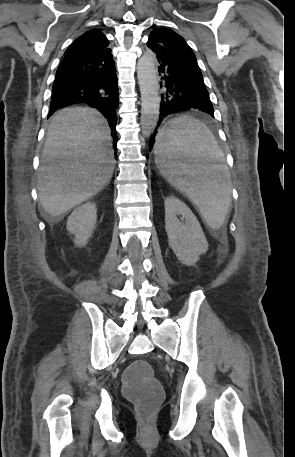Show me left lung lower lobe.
<instances>
[{
  "mask_svg": "<svg viewBox=\"0 0 295 457\" xmlns=\"http://www.w3.org/2000/svg\"><path fill=\"white\" fill-rule=\"evenodd\" d=\"M147 46L160 63L158 66L162 80L160 86L164 84L167 89L161 98L158 125L167 115L190 109L200 110L214 117L213 106L199 66L157 42L148 40ZM156 134L155 130L150 138L149 149H152L156 141Z\"/></svg>",
  "mask_w": 295,
  "mask_h": 457,
  "instance_id": "obj_1",
  "label": "left lung lower lobe"
}]
</instances>
